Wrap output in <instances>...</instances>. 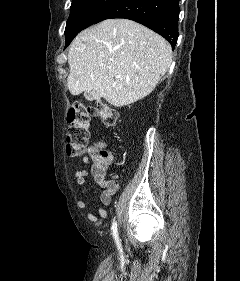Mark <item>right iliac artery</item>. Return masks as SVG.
I'll return each instance as SVG.
<instances>
[{
    "label": "right iliac artery",
    "instance_id": "82829eb1",
    "mask_svg": "<svg viewBox=\"0 0 240 281\" xmlns=\"http://www.w3.org/2000/svg\"><path fill=\"white\" fill-rule=\"evenodd\" d=\"M111 230L113 232V236L116 240V243L118 245V247L120 248V245H119V238H118V232H117V223L116 221L114 220L113 223H112V227H111Z\"/></svg>",
    "mask_w": 240,
    "mask_h": 281
}]
</instances>
